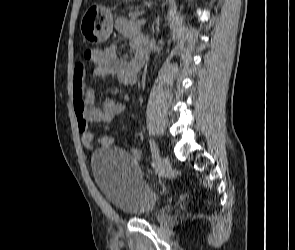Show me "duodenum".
<instances>
[{
  "mask_svg": "<svg viewBox=\"0 0 295 250\" xmlns=\"http://www.w3.org/2000/svg\"><path fill=\"white\" fill-rule=\"evenodd\" d=\"M137 55H138V68L141 69L145 62V53L143 50H139Z\"/></svg>",
  "mask_w": 295,
  "mask_h": 250,
  "instance_id": "obj_1",
  "label": "duodenum"
}]
</instances>
